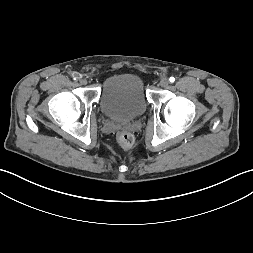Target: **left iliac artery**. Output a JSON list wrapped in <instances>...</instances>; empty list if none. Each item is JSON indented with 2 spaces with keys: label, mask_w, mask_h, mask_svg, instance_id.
<instances>
[{
  "label": "left iliac artery",
  "mask_w": 253,
  "mask_h": 253,
  "mask_svg": "<svg viewBox=\"0 0 253 253\" xmlns=\"http://www.w3.org/2000/svg\"><path fill=\"white\" fill-rule=\"evenodd\" d=\"M169 81H170L171 83H173V82L175 81V78H174V77H170V78H169Z\"/></svg>",
  "instance_id": "obj_1"
}]
</instances>
